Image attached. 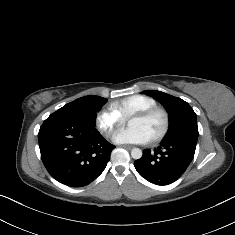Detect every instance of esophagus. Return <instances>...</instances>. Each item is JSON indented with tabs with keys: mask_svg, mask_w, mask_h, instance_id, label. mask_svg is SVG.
<instances>
[{
	"mask_svg": "<svg viewBox=\"0 0 235 235\" xmlns=\"http://www.w3.org/2000/svg\"><path fill=\"white\" fill-rule=\"evenodd\" d=\"M121 148H125V149H128V150H131L133 148V146L131 145H127V144H122L120 145Z\"/></svg>",
	"mask_w": 235,
	"mask_h": 235,
	"instance_id": "1",
	"label": "esophagus"
}]
</instances>
